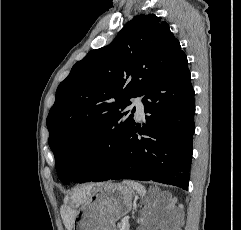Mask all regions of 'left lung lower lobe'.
<instances>
[{
    "label": "left lung lower lobe",
    "instance_id": "obj_1",
    "mask_svg": "<svg viewBox=\"0 0 241 230\" xmlns=\"http://www.w3.org/2000/svg\"><path fill=\"white\" fill-rule=\"evenodd\" d=\"M194 94L187 57L182 53L146 91L142 99L149 114L146 123L141 127L133 122L115 142L91 147L74 166L73 180H153L187 190L195 132Z\"/></svg>",
    "mask_w": 241,
    "mask_h": 230
}]
</instances>
